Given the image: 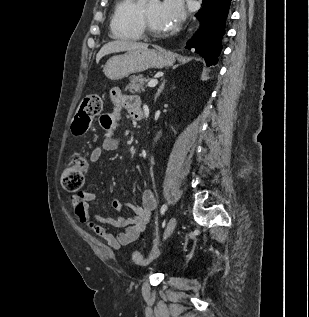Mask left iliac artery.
Segmentation results:
<instances>
[{
  "label": "left iliac artery",
  "mask_w": 309,
  "mask_h": 317,
  "mask_svg": "<svg viewBox=\"0 0 309 317\" xmlns=\"http://www.w3.org/2000/svg\"><path fill=\"white\" fill-rule=\"evenodd\" d=\"M166 210H167V204H163L161 207V214H164Z\"/></svg>",
  "instance_id": "obj_1"
}]
</instances>
